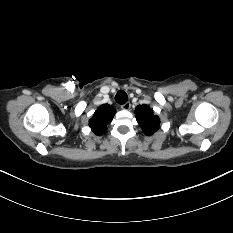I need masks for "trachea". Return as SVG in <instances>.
Returning a JSON list of instances; mask_svg holds the SVG:
<instances>
[{"instance_id":"1","label":"trachea","mask_w":233,"mask_h":233,"mask_svg":"<svg viewBox=\"0 0 233 233\" xmlns=\"http://www.w3.org/2000/svg\"><path fill=\"white\" fill-rule=\"evenodd\" d=\"M128 100V95L126 94L125 91H118L117 94L115 95V101L118 104H125Z\"/></svg>"}]
</instances>
